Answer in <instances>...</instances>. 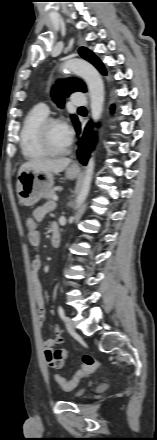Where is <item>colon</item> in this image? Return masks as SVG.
I'll return each mask as SVG.
<instances>
[{
    "label": "colon",
    "mask_w": 157,
    "mask_h": 440,
    "mask_svg": "<svg viewBox=\"0 0 157 440\" xmlns=\"http://www.w3.org/2000/svg\"><path fill=\"white\" fill-rule=\"evenodd\" d=\"M25 226L29 232L37 231V221L33 216H29L25 220ZM52 354L56 357H60L62 354L61 348H56L52 350ZM100 366V362L92 355L85 354L83 356V366L82 368L74 375V377L67 381L62 376L56 375L55 381L56 383L65 391L73 390L77 387L80 380L94 371L96 368Z\"/></svg>",
    "instance_id": "colon-1"
}]
</instances>
